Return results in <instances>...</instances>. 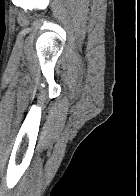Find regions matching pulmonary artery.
<instances>
[{"mask_svg": "<svg viewBox=\"0 0 140 196\" xmlns=\"http://www.w3.org/2000/svg\"><path fill=\"white\" fill-rule=\"evenodd\" d=\"M29 192H43V191H29Z\"/></svg>", "mask_w": 140, "mask_h": 196, "instance_id": "1", "label": "pulmonary artery"}]
</instances>
